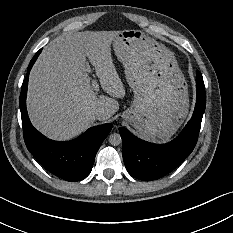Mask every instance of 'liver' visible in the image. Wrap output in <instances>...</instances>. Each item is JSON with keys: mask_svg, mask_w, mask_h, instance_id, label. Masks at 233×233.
Listing matches in <instances>:
<instances>
[{"mask_svg": "<svg viewBox=\"0 0 233 233\" xmlns=\"http://www.w3.org/2000/svg\"><path fill=\"white\" fill-rule=\"evenodd\" d=\"M120 31L66 32L44 47L29 74L27 109L32 124L55 140H68L95 121L96 109H104L100 121L119 110L117 99L126 94L111 54V44ZM94 67L106 95L91 86Z\"/></svg>", "mask_w": 233, "mask_h": 233, "instance_id": "6515ba94", "label": "liver"}]
</instances>
